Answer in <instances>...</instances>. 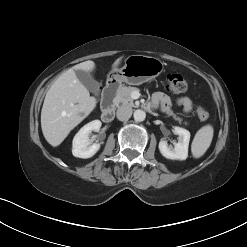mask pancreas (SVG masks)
Masks as SVG:
<instances>
[{
  "label": "pancreas",
  "instance_id": "obj_1",
  "mask_svg": "<svg viewBox=\"0 0 247 247\" xmlns=\"http://www.w3.org/2000/svg\"><path fill=\"white\" fill-rule=\"evenodd\" d=\"M139 89L136 87H130V86H124V87H120L117 90L114 102L116 105H127L130 107H135V104L133 102V99L131 97L132 92L134 91H138ZM169 116H172L176 121H178L179 123H181L183 121L182 118L178 117L176 114H174L172 111L168 112ZM185 124H187V122H184Z\"/></svg>",
  "mask_w": 247,
  "mask_h": 247
}]
</instances>
